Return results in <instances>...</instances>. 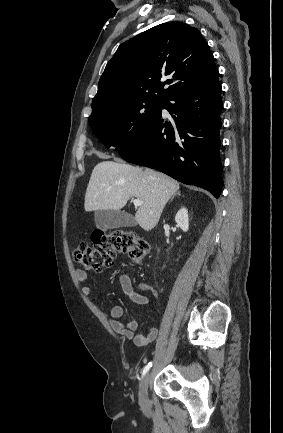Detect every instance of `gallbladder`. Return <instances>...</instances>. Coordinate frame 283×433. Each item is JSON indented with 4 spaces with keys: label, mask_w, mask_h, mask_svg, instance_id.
Here are the masks:
<instances>
[{
    "label": "gallbladder",
    "mask_w": 283,
    "mask_h": 433,
    "mask_svg": "<svg viewBox=\"0 0 283 433\" xmlns=\"http://www.w3.org/2000/svg\"><path fill=\"white\" fill-rule=\"evenodd\" d=\"M94 221L97 229L108 231V229H119V227H136L137 223L133 214L123 212V210H95Z\"/></svg>",
    "instance_id": "bac80fb5"
}]
</instances>
